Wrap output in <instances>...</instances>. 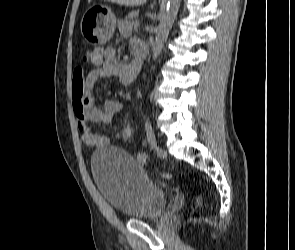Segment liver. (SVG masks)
<instances>
[{"mask_svg":"<svg viewBox=\"0 0 295 250\" xmlns=\"http://www.w3.org/2000/svg\"><path fill=\"white\" fill-rule=\"evenodd\" d=\"M108 2L116 3L124 6H140L147 2V0H106Z\"/></svg>","mask_w":295,"mask_h":250,"instance_id":"1","label":"liver"}]
</instances>
